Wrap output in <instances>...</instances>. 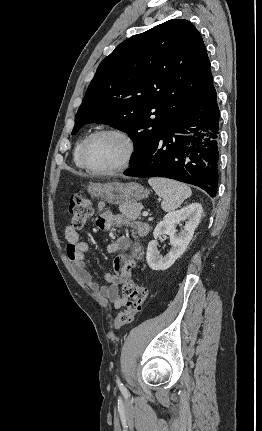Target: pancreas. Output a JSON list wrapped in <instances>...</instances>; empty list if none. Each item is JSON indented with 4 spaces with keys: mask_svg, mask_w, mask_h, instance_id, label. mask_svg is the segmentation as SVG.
Instances as JSON below:
<instances>
[{
    "mask_svg": "<svg viewBox=\"0 0 262 431\" xmlns=\"http://www.w3.org/2000/svg\"><path fill=\"white\" fill-rule=\"evenodd\" d=\"M142 207L139 205H120V212L130 220H135L139 217Z\"/></svg>",
    "mask_w": 262,
    "mask_h": 431,
    "instance_id": "1",
    "label": "pancreas"
}]
</instances>
